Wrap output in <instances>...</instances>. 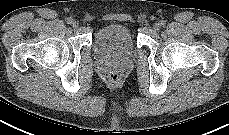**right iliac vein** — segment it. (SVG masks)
I'll return each instance as SVG.
<instances>
[{
    "instance_id": "obj_1",
    "label": "right iliac vein",
    "mask_w": 229,
    "mask_h": 135,
    "mask_svg": "<svg viewBox=\"0 0 229 135\" xmlns=\"http://www.w3.org/2000/svg\"><path fill=\"white\" fill-rule=\"evenodd\" d=\"M71 24L73 28H77L79 26L78 21H73Z\"/></svg>"
}]
</instances>
